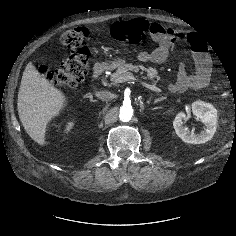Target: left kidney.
I'll return each instance as SVG.
<instances>
[{
    "label": "left kidney",
    "mask_w": 236,
    "mask_h": 236,
    "mask_svg": "<svg viewBox=\"0 0 236 236\" xmlns=\"http://www.w3.org/2000/svg\"><path fill=\"white\" fill-rule=\"evenodd\" d=\"M192 113L205 125L204 130L199 134L190 132L184 126L188 116L180 112L173 120V127L176 134L185 142L190 144H203L211 140L217 127V110L212 104L204 101H195L192 103Z\"/></svg>",
    "instance_id": "1"
}]
</instances>
